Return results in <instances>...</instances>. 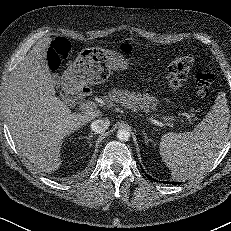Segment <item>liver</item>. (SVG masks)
Segmentation results:
<instances>
[{
  "label": "liver",
  "mask_w": 231,
  "mask_h": 231,
  "mask_svg": "<svg viewBox=\"0 0 231 231\" xmlns=\"http://www.w3.org/2000/svg\"><path fill=\"white\" fill-rule=\"evenodd\" d=\"M50 42L51 38L40 40L14 68L6 93V117L19 152L46 173L60 167L63 139L102 114L72 113L55 96L46 60Z\"/></svg>",
  "instance_id": "6515ba94"
}]
</instances>
